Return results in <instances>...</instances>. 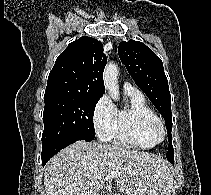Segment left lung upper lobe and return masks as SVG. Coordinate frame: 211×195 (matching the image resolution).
Here are the masks:
<instances>
[{
    "mask_svg": "<svg viewBox=\"0 0 211 195\" xmlns=\"http://www.w3.org/2000/svg\"><path fill=\"white\" fill-rule=\"evenodd\" d=\"M118 54L136 85L163 116L169 141L166 157L173 160L171 96L162 61L145 44L134 40L121 42Z\"/></svg>",
    "mask_w": 211,
    "mask_h": 195,
    "instance_id": "5c2ea615",
    "label": "left lung upper lobe"
}]
</instances>
